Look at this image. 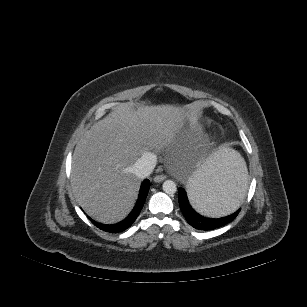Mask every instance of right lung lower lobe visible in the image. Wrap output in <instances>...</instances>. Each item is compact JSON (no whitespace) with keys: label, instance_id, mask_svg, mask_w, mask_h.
<instances>
[{"label":"right lung lower lobe","instance_id":"obj_1","mask_svg":"<svg viewBox=\"0 0 307 307\" xmlns=\"http://www.w3.org/2000/svg\"><path fill=\"white\" fill-rule=\"evenodd\" d=\"M149 188H150V182H149V180L146 179V180L143 181V183L141 185L139 197H138V200H137L133 210L123 221L116 223V224H111V225H105V224H102V223H98V222L92 220L91 218H89L90 221L96 227H98L99 229L106 231V232L118 233V232L126 230L127 228H129L133 224V222L136 220L137 216L139 215V213H140V211H141V209H142V207L145 203Z\"/></svg>","mask_w":307,"mask_h":307}]
</instances>
